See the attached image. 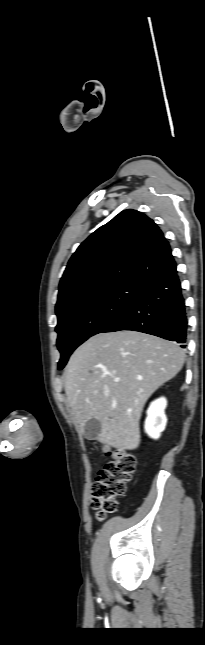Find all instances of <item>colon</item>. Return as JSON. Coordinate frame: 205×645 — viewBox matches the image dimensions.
Here are the masks:
<instances>
[{
    "mask_svg": "<svg viewBox=\"0 0 205 645\" xmlns=\"http://www.w3.org/2000/svg\"><path fill=\"white\" fill-rule=\"evenodd\" d=\"M104 452L112 461L99 471L92 489V507L99 520L115 512V499L125 493L136 466L135 457L124 450L105 449Z\"/></svg>",
    "mask_w": 205,
    "mask_h": 645,
    "instance_id": "colon-1",
    "label": "colon"
}]
</instances>
